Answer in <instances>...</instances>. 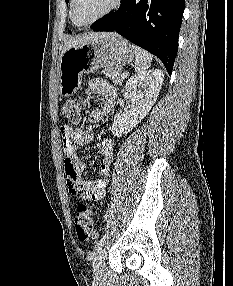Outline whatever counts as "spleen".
Here are the masks:
<instances>
[{
	"mask_svg": "<svg viewBox=\"0 0 233 286\" xmlns=\"http://www.w3.org/2000/svg\"><path fill=\"white\" fill-rule=\"evenodd\" d=\"M132 48L136 56L135 70L139 73L145 72L151 66V54L136 45H132Z\"/></svg>",
	"mask_w": 233,
	"mask_h": 286,
	"instance_id": "obj_1",
	"label": "spleen"
}]
</instances>
